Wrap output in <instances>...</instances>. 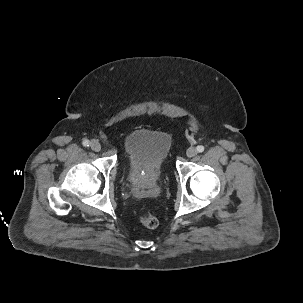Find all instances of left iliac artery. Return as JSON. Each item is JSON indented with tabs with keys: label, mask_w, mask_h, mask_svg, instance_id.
I'll return each instance as SVG.
<instances>
[{
	"label": "left iliac artery",
	"mask_w": 303,
	"mask_h": 303,
	"mask_svg": "<svg viewBox=\"0 0 303 303\" xmlns=\"http://www.w3.org/2000/svg\"><path fill=\"white\" fill-rule=\"evenodd\" d=\"M197 151L199 152V153H201V152H203L204 151V146H202V145H199V146H197Z\"/></svg>",
	"instance_id": "44dca946"
}]
</instances>
